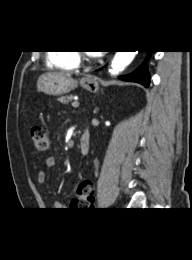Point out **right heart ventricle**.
Returning <instances> with one entry per match:
<instances>
[{"instance_id":"e07e8e85","label":"right heart ventricle","mask_w":192,"mask_h":260,"mask_svg":"<svg viewBox=\"0 0 192 260\" xmlns=\"http://www.w3.org/2000/svg\"><path fill=\"white\" fill-rule=\"evenodd\" d=\"M48 65L64 70H74L79 67L80 59L75 51L50 52L47 56Z\"/></svg>"}]
</instances>
